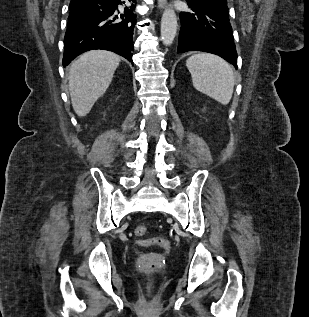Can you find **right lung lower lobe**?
Instances as JSON below:
<instances>
[{
    "mask_svg": "<svg viewBox=\"0 0 309 317\" xmlns=\"http://www.w3.org/2000/svg\"><path fill=\"white\" fill-rule=\"evenodd\" d=\"M135 8L136 0H71L63 66L91 49L113 51L132 62Z\"/></svg>",
    "mask_w": 309,
    "mask_h": 317,
    "instance_id": "right-lung-lower-lobe-1",
    "label": "right lung lower lobe"
}]
</instances>
